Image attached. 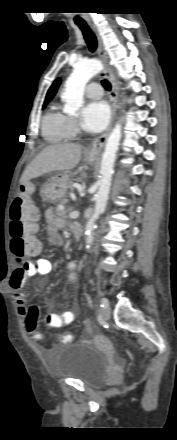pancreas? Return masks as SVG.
I'll return each mask as SVG.
<instances>
[{
	"mask_svg": "<svg viewBox=\"0 0 177 440\" xmlns=\"http://www.w3.org/2000/svg\"><path fill=\"white\" fill-rule=\"evenodd\" d=\"M62 203H64V202L62 201ZM56 215L63 217V218H67V211L64 209H60V207H57L56 208Z\"/></svg>",
	"mask_w": 177,
	"mask_h": 440,
	"instance_id": "cf45deb5",
	"label": "pancreas"
}]
</instances>
